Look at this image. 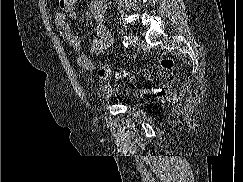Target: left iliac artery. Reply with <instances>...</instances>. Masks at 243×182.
I'll list each match as a JSON object with an SVG mask.
<instances>
[{
  "label": "left iliac artery",
  "mask_w": 243,
  "mask_h": 182,
  "mask_svg": "<svg viewBox=\"0 0 243 182\" xmlns=\"http://www.w3.org/2000/svg\"><path fill=\"white\" fill-rule=\"evenodd\" d=\"M121 40H122L124 47H128V40H129L128 36H126V35L122 36Z\"/></svg>",
  "instance_id": "1"
}]
</instances>
